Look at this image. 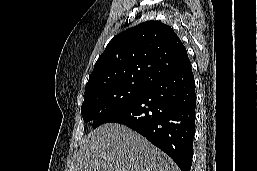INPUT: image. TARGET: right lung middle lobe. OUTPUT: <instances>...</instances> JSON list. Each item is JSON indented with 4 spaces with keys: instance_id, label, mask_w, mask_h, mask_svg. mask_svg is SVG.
<instances>
[{
    "instance_id": "obj_1",
    "label": "right lung middle lobe",
    "mask_w": 257,
    "mask_h": 171,
    "mask_svg": "<svg viewBox=\"0 0 257 171\" xmlns=\"http://www.w3.org/2000/svg\"><path fill=\"white\" fill-rule=\"evenodd\" d=\"M148 86L145 83H115L85 91L81 114L96 128L133 101Z\"/></svg>"
}]
</instances>
